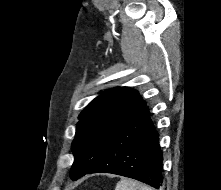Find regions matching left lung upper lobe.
Instances as JSON below:
<instances>
[{
  "label": "left lung upper lobe",
  "instance_id": "5c2ea615",
  "mask_svg": "<svg viewBox=\"0 0 221 190\" xmlns=\"http://www.w3.org/2000/svg\"><path fill=\"white\" fill-rule=\"evenodd\" d=\"M146 106L138 91L113 88L97 96L79 115L72 142V180L85 175L116 133Z\"/></svg>",
  "mask_w": 221,
  "mask_h": 190
}]
</instances>
